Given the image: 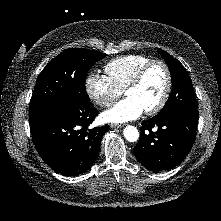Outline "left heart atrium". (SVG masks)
Here are the masks:
<instances>
[{
    "mask_svg": "<svg viewBox=\"0 0 221 221\" xmlns=\"http://www.w3.org/2000/svg\"><path fill=\"white\" fill-rule=\"evenodd\" d=\"M143 111L138 102L128 96L105 111L102 114V119L106 122L121 123L138 118Z\"/></svg>",
    "mask_w": 221,
    "mask_h": 221,
    "instance_id": "left-heart-atrium-1",
    "label": "left heart atrium"
}]
</instances>
